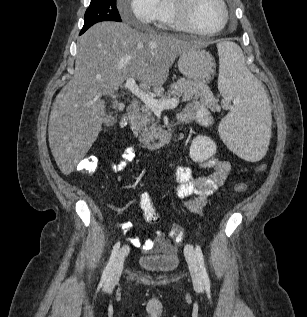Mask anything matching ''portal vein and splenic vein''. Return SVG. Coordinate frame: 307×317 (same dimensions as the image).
<instances>
[{
	"instance_id": "1",
	"label": "portal vein and splenic vein",
	"mask_w": 307,
	"mask_h": 317,
	"mask_svg": "<svg viewBox=\"0 0 307 317\" xmlns=\"http://www.w3.org/2000/svg\"><path fill=\"white\" fill-rule=\"evenodd\" d=\"M124 87L128 89L132 94L143 101L148 107L153 111L161 112L165 109H172L178 106L179 99L171 98L166 100H159L155 98L154 95L146 93L142 88H140L133 78H128L124 83Z\"/></svg>"
}]
</instances>
